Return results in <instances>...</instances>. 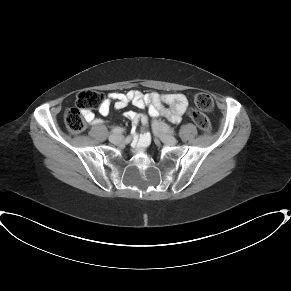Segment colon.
I'll return each instance as SVG.
<instances>
[{"mask_svg":"<svg viewBox=\"0 0 291 291\" xmlns=\"http://www.w3.org/2000/svg\"><path fill=\"white\" fill-rule=\"evenodd\" d=\"M195 103L203 111H211L214 107L212 97L203 92H199L194 97ZM103 94L93 89H85L77 94L75 107L69 108L64 113V123L71 133H79L85 127L84 110L101 107ZM197 126L204 132H209L211 124L206 115L199 111H190Z\"/></svg>","mask_w":291,"mask_h":291,"instance_id":"5ec220e1","label":"colon"}]
</instances>
